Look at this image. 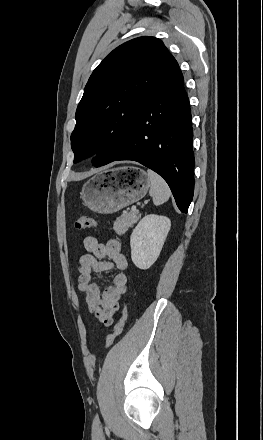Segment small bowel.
Listing matches in <instances>:
<instances>
[{
  "label": "small bowel",
  "instance_id": "obj_1",
  "mask_svg": "<svg viewBox=\"0 0 263 440\" xmlns=\"http://www.w3.org/2000/svg\"><path fill=\"white\" fill-rule=\"evenodd\" d=\"M83 245L88 253L79 259L78 290L85 297L88 310L94 318L102 325L110 326L119 309V300L127 290L125 270L128 262L118 240L112 239L104 244L94 236H87ZM114 268L119 272L102 291L93 281V274L109 272Z\"/></svg>",
  "mask_w": 263,
  "mask_h": 440
}]
</instances>
